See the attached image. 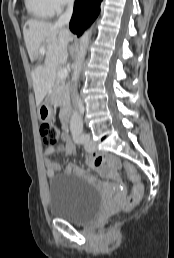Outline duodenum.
<instances>
[{
	"label": "duodenum",
	"instance_id": "410a0bca",
	"mask_svg": "<svg viewBox=\"0 0 174 258\" xmlns=\"http://www.w3.org/2000/svg\"><path fill=\"white\" fill-rule=\"evenodd\" d=\"M61 120L65 126L69 125L70 123V107L68 102H64L62 106L61 112Z\"/></svg>",
	"mask_w": 174,
	"mask_h": 258
}]
</instances>
